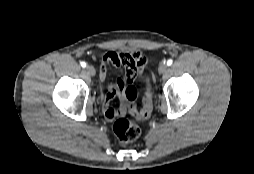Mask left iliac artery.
Instances as JSON below:
<instances>
[{
	"mask_svg": "<svg viewBox=\"0 0 254 174\" xmlns=\"http://www.w3.org/2000/svg\"><path fill=\"white\" fill-rule=\"evenodd\" d=\"M172 63H173V60H172V59H169V60L167 61V66L172 65Z\"/></svg>",
	"mask_w": 254,
	"mask_h": 174,
	"instance_id": "obj_1",
	"label": "left iliac artery"
}]
</instances>
